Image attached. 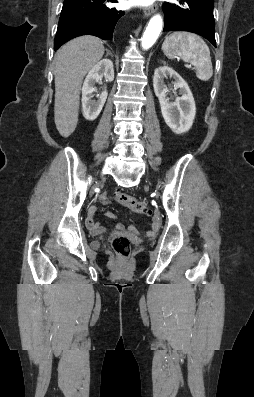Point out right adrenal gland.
Here are the masks:
<instances>
[{"instance_id":"2a0ac1e0","label":"right adrenal gland","mask_w":254,"mask_h":397,"mask_svg":"<svg viewBox=\"0 0 254 397\" xmlns=\"http://www.w3.org/2000/svg\"><path fill=\"white\" fill-rule=\"evenodd\" d=\"M110 55V52L108 49H106V56Z\"/></svg>"}]
</instances>
